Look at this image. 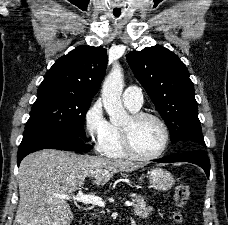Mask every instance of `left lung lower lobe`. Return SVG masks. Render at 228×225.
<instances>
[{
    "instance_id": "obj_1",
    "label": "left lung lower lobe",
    "mask_w": 228,
    "mask_h": 225,
    "mask_svg": "<svg viewBox=\"0 0 228 225\" xmlns=\"http://www.w3.org/2000/svg\"><path fill=\"white\" fill-rule=\"evenodd\" d=\"M154 161L158 163L190 162L203 168L207 177L209 178L210 163L205 148H195L187 153L175 154Z\"/></svg>"
}]
</instances>
